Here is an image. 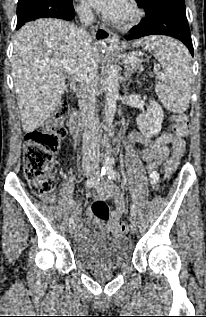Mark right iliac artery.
Returning <instances> with one entry per match:
<instances>
[{"label": "right iliac artery", "mask_w": 206, "mask_h": 317, "mask_svg": "<svg viewBox=\"0 0 206 317\" xmlns=\"http://www.w3.org/2000/svg\"><path fill=\"white\" fill-rule=\"evenodd\" d=\"M106 173V168H102L100 172H98L96 175L91 176L85 183V187L86 188H91L93 187L95 184H97L100 179H102V177L105 175ZM74 222V218L73 216H71L69 218V223H73Z\"/></svg>", "instance_id": "right-iliac-artery-1"}]
</instances>
